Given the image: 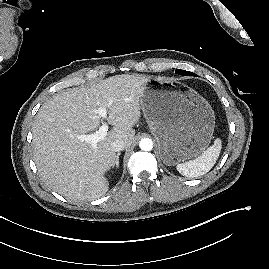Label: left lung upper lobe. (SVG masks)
<instances>
[{
    "instance_id": "obj_1",
    "label": "left lung upper lobe",
    "mask_w": 269,
    "mask_h": 269,
    "mask_svg": "<svg viewBox=\"0 0 269 269\" xmlns=\"http://www.w3.org/2000/svg\"><path fill=\"white\" fill-rule=\"evenodd\" d=\"M175 73L178 74V75H183V76H196V74H194L192 72L184 71V70H181V69H176Z\"/></svg>"
}]
</instances>
